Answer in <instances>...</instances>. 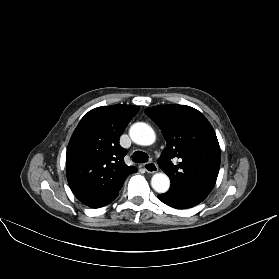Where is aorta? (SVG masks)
Returning a JSON list of instances; mask_svg holds the SVG:
<instances>
[{
    "label": "aorta",
    "mask_w": 279,
    "mask_h": 279,
    "mask_svg": "<svg viewBox=\"0 0 279 279\" xmlns=\"http://www.w3.org/2000/svg\"><path fill=\"white\" fill-rule=\"evenodd\" d=\"M129 135L138 145L148 146L155 142L154 130L146 123L138 122L131 126ZM151 186L157 193H165L170 187V179L165 173H156L152 176Z\"/></svg>",
    "instance_id": "1"
}]
</instances>
